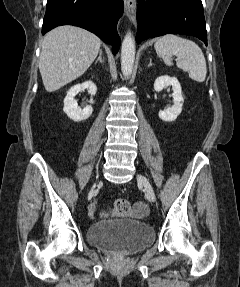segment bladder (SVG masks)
Segmentation results:
<instances>
[{
	"mask_svg": "<svg viewBox=\"0 0 240 287\" xmlns=\"http://www.w3.org/2000/svg\"><path fill=\"white\" fill-rule=\"evenodd\" d=\"M87 241L106 251L133 254L152 244L154 230L143 222L114 219L90 226Z\"/></svg>",
	"mask_w": 240,
	"mask_h": 287,
	"instance_id": "1",
	"label": "bladder"
}]
</instances>
